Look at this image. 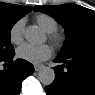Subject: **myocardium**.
Listing matches in <instances>:
<instances>
[{"label": "myocardium", "instance_id": "myocardium-1", "mask_svg": "<svg viewBox=\"0 0 95 95\" xmlns=\"http://www.w3.org/2000/svg\"><path fill=\"white\" fill-rule=\"evenodd\" d=\"M48 39L53 44V46L56 48L61 47L64 42L63 36L61 34L56 33V32L49 33Z\"/></svg>", "mask_w": 95, "mask_h": 95}]
</instances>
